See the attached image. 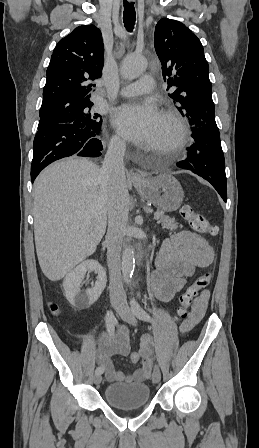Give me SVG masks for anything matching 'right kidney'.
<instances>
[{
    "label": "right kidney",
    "instance_id": "right-kidney-1",
    "mask_svg": "<svg viewBox=\"0 0 259 448\" xmlns=\"http://www.w3.org/2000/svg\"><path fill=\"white\" fill-rule=\"evenodd\" d=\"M86 272L98 274L97 280L94 288L81 290L80 284ZM106 282V272L101 264L97 260H86V262H82V264H79L72 272L67 274L63 280V288L69 304L75 310H84V308H90L91 304L97 302L106 286Z\"/></svg>",
    "mask_w": 259,
    "mask_h": 448
}]
</instances>
